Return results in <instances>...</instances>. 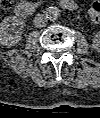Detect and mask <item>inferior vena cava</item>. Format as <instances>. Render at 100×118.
<instances>
[{
	"instance_id": "inferior-vena-cava-1",
	"label": "inferior vena cava",
	"mask_w": 100,
	"mask_h": 118,
	"mask_svg": "<svg viewBox=\"0 0 100 118\" xmlns=\"http://www.w3.org/2000/svg\"><path fill=\"white\" fill-rule=\"evenodd\" d=\"M47 23V18L44 14H37L33 19V24L36 27H44Z\"/></svg>"
}]
</instances>
